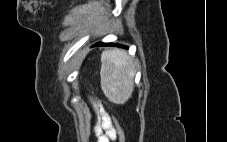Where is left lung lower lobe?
<instances>
[{
	"mask_svg": "<svg viewBox=\"0 0 227 142\" xmlns=\"http://www.w3.org/2000/svg\"><path fill=\"white\" fill-rule=\"evenodd\" d=\"M96 45H111L110 43L109 44H104V43H97ZM121 46V45H120ZM123 47V46H122Z\"/></svg>",
	"mask_w": 227,
	"mask_h": 142,
	"instance_id": "obj_1",
	"label": "left lung lower lobe"
}]
</instances>
